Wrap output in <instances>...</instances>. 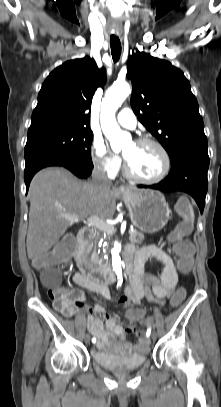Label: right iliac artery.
Instances as JSON below:
<instances>
[{
  "label": "right iliac artery",
  "instance_id": "82829eb1",
  "mask_svg": "<svg viewBox=\"0 0 221 407\" xmlns=\"http://www.w3.org/2000/svg\"><path fill=\"white\" fill-rule=\"evenodd\" d=\"M118 286H121V284L118 283ZM92 342L95 343V342H96V339H95V338H92Z\"/></svg>",
  "mask_w": 221,
  "mask_h": 407
}]
</instances>
